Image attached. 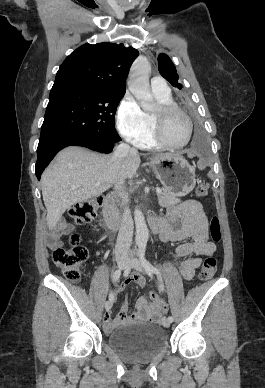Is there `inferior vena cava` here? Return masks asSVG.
Listing matches in <instances>:
<instances>
[{
	"label": "inferior vena cava",
	"instance_id": "1",
	"mask_svg": "<svg viewBox=\"0 0 265 388\" xmlns=\"http://www.w3.org/2000/svg\"><path fill=\"white\" fill-rule=\"evenodd\" d=\"M130 150H133V152H137L135 148H130L128 144H120V146H117V148H115L112 154L113 160H115L116 164H123ZM123 184H124V178H120V180H118V182H116L115 184V190H118L119 196L120 198H122L123 202H128V196L126 192H123L122 190ZM132 236H133V220H132L131 212L128 206H126V208H124L122 222L120 224L119 234H118V238L115 246L116 258H122V256H125V258H128V250L131 246Z\"/></svg>",
	"mask_w": 265,
	"mask_h": 388
}]
</instances>
